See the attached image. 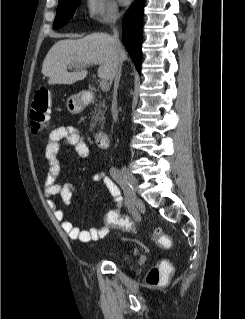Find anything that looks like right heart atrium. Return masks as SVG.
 Listing matches in <instances>:
<instances>
[{
  "instance_id": "right-heart-atrium-1",
  "label": "right heart atrium",
  "mask_w": 245,
  "mask_h": 319,
  "mask_svg": "<svg viewBox=\"0 0 245 319\" xmlns=\"http://www.w3.org/2000/svg\"><path fill=\"white\" fill-rule=\"evenodd\" d=\"M85 15L94 25L113 23L118 17V7L114 0H85Z\"/></svg>"
}]
</instances>
